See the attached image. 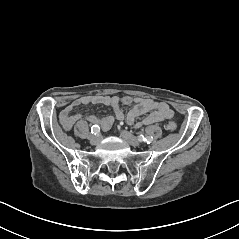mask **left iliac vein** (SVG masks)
Segmentation results:
<instances>
[{"mask_svg": "<svg viewBox=\"0 0 239 239\" xmlns=\"http://www.w3.org/2000/svg\"><path fill=\"white\" fill-rule=\"evenodd\" d=\"M120 135L131 146L137 147L140 145V141L128 131L123 130Z\"/></svg>", "mask_w": 239, "mask_h": 239, "instance_id": "obj_1", "label": "left iliac vein"}]
</instances>
